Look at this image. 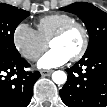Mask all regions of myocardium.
Wrapping results in <instances>:
<instances>
[{"instance_id": "f54148a6", "label": "myocardium", "mask_w": 107, "mask_h": 107, "mask_svg": "<svg viewBox=\"0 0 107 107\" xmlns=\"http://www.w3.org/2000/svg\"><path fill=\"white\" fill-rule=\"evenodd\" d=\"M74 27H78L81 29V31L83 33V44H82L80 50L76 54H74L72 57H70V60L73 62L80 60L85 55V53L87 52L88 47H89L90 35H89L88 28L86 27V25L84 23H82L80 21H76V20L68 22L65 25H63L62 27H60L49 40V45H50L51 42L62 38L70 29H72Z\"/></svg>"}]
</instances>
